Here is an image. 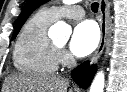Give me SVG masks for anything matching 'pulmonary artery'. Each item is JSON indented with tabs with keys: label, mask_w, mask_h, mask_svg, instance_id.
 I'll use <instances>...</instances> for the list:
<instances>
[{
	"label": "pulmonary artery",
	"mask_w": 127,
	"mask_h": 92,
	"mask_svg": "<svg viewBox=\"0 0 127 92\" xmlns=\"http://www.w3.org/2000/svg\"><path fill=\"white\" fill-rule=\"evenodd\" d=\"M52 18L60 19L63 17L80 19L84 17V10L79 5H62V6H51L45 9Z\"/></svg>",
	"instance_id": "e3ab8cb5"
}]
</instances>
